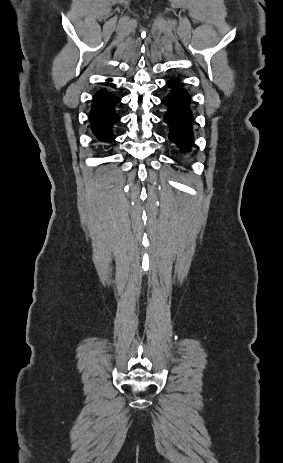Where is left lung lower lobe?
Returning <instances> with one entry per match:
<instances>
[{"label": "left lung lower lobe", "mask_w": 283, "mask_h": 463, "mask_svg": "<svg viewBox=\"0 0 283 463\" xmlns=\"http://www.w3.org/2000/svg\"><path fill=\"white\" fill-rule=\"evenodd\" d=\"M167 84L173 90L162 99V103L168 107L163 119L170 126L169 139L182 150L187 151L193 141V117L189 108V96L185 90H175L178 85L177 80H169Z\"/></svg>", "instance_id": "1"}]
</instances>
